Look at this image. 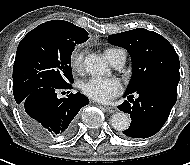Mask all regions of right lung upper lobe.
Returning a JSON list of instances; mask_svg holds the SVG:
<instances>
[{
  "label": "right lung upper lobe",
  "mask_w": 190,
  "mask_h": 165,
  "mask_svg": "<svg viewBox=\"0 0 190 165\" xmlns=\"http://www.w3.org/2000/svg\"><path fill=\"white\" fill-rule=\"evenodd\" d=\"M45 24H54V25H58L60 27H62L65 31H67L68 33H72V34H80L83 32V28L77 27L75 25H73L70 22L64 21V20H53V21H48Z\"/></svg>",
  "instance_id": "cb5924a9"
}]
</instances>
